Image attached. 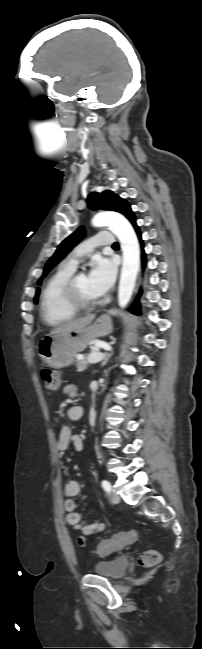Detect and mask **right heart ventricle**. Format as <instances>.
<instances>
[{
  "mask_svg": "<svg viewBox=\"0 0 202 649\" xmlns=\"http://www.w3.org/2000/svg\"><path fill=\"white\" fill-rule=\"evenodd\" d=\"M75 268L62 264L50 276L41 295V313L49 325H59L73 319L78 311L73 309L64 297V286Z\"/></svg>",
  "mask_w": 202,
  "mask_h": 649,
  "instance_id": "obj_1",
  "label": "right heart ventricle"
}]
</instances>
